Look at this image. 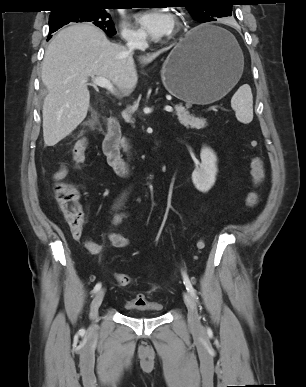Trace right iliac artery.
Wrapping results in <instances>:
<instances>
[{
  "label": "right iliac artery",
  "mask_w": 306,
  "mask_h": 387,
  "mask_svg": "<svg viewBox=\"0 0 306 387\" xmlns=\"http://www.w3.org/2000/svg\"><path fill=\"white\" fill-rule=\"evenodd\" d=\"M101 283H97L93 289V293H97L101 289Z\"/></svg>",
  "instance_id": "1"
}]
</instances>
